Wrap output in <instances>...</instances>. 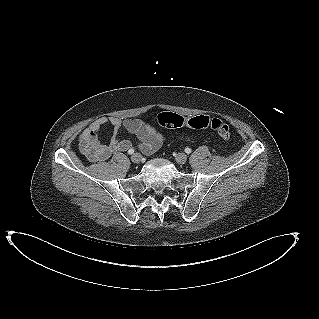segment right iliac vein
Wrapping results in <instances>:
<instances>
[{
	"instance_id": "right-iliac-vein-1",
	"label": "right iliac vein",
	"mask_w": 319,
	"mask_h": 319,
	"mask_svg": "<svg viewBox=\"0 0 319 319\" xmlns=\"http://www.w3.org/2000/svg\"><path fill=\"white\" fill-rule=\"evenodd\" d=\"M142 156L139 153H135L131 156V161L133 163L139 164L141 162Z\"/></svg>"
}]
</instances>
